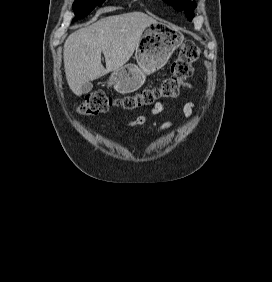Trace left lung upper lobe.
Returning <instances> with one entry per match:
<instances>
[{"mask_svg": "<svg viewBox=\"0 0 272 282\" xmlns=\"http://www.w3.org/2000/svg\"><path fill=\"white\" fill-rule=\"evenodd\" d=\"M165 2L172 5L176 10L181 11L184 10L187 18L192 20L194 17V8L196 7V3L190 0H164Z\"/></svg>", "mask_w": 272, "mask_h": 282, "instance_id": "1", "label": "left lung upper lobe"}]
</instances>
